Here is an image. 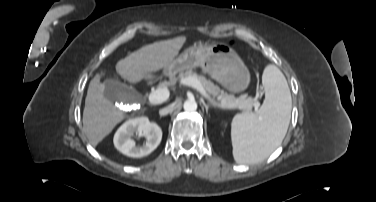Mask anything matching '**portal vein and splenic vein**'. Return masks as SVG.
<instances>
[{
	"instance_id": "1",
	"label": "portal vein and splenic vein",
	"mask_w": 376,
	"mask_h": 202,
	"mask_svg": "<svg viewBox=\"0 0 376 202\" xmlns=\"http://www.w3.org/2000/svg\"><path fill=\"white\" fill-rule=\"evenodd\" d=\"M182 83L196 89L202 97H204L205 99H207L210 102H213L214 105L219 107V108H228V109L236 108V106L232 105V104L214 102L210 98V96L207 94L206 90L201 85V83L193 77H188V78L183 79ZM169 95H170V92L167 88H160V89L152 91L149 94L148 99L153 104H160V103L165 102L169 98Z\"/></svg>"
}]
</instances>
